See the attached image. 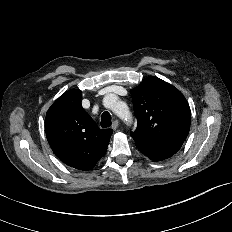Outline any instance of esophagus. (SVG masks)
<instances>
[{
  "instance_id": "1",
  "label": "esophagus",
  "mask_w": 232,
  "mask_h": 232,
  "mask_svg": "<svg viewBox=\"0 0 232 232\" xmlns=\"http://www.w3.org/2000/svg\"><path fill=\"white\" fill-rule=\"evenodd\" d=\"M118 126H119V121L118 120H114L113 123H112L111 128L113 130H116L118 128Z\"/></svg>"
}]
</instances>
